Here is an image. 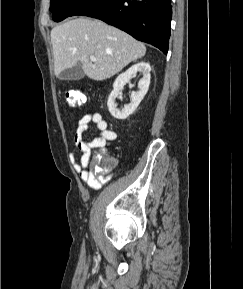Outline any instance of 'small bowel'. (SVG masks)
Segmentation results:
<instances>
[{"label":"small bowel","instance_id":"c3829d8e","mask_svg":"<svg viewBox=\"0 0 243 289\" xmlns=\"http://www.w3.org/2000/svg\"><path fill=\"white\" fill-rule=\"evenodd\" d=\"M90 123L95 124L99 133L92 140L85 141L83 136ZM116 137V132L109 129L107 121L99 112L87 113L77 122L74 134L75 149L72 160L81 181L94 190L100 189L108 181L109 177L97 174L89 167L91 151L99 149V152L106 153V148ZM76 153L81 154L80 158H76Z\"/></svg>","mask_w":243,"mask_h":289}]
</instances>
